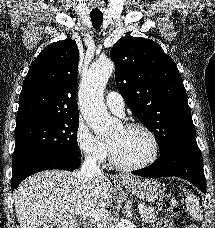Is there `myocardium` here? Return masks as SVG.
Returning a JSON list of instances; mask_svg holds the SVG:
<instances>
[{"mask_svg":"<svg viewBox=\"0 0 215 228\" xmlns=\"http://www.w3.org/2000/svg\"><path fill=\"white\" fill-rule=\"evenodd\" d=\"M123 128L124 129L138 128V129L143 130L146 133V135L148 136V139L150 142V151H149L147 157L144 160H142L141 162L132 164V165H126V164H122L116 160L113 150H112L111 146L108 144L111 164L115 168H117L121 171H125V172L137 171V170L143 169V168L147 167L148 165H150L156 159V157L158 155V151H159L158 140H157V137H156L155 133L153 132V130L149 126H147L146 124L141 123V122L126 123L123 126Z\"/></svg>","mask_w":215,"mask_h":228,"instance_id":"1","label":"myocardium"}]
</instances>
